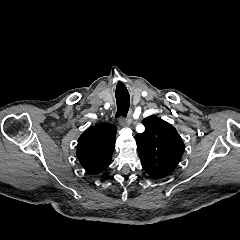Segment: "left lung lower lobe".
Instances as JSON below:
<instances>
[{
	"mask_svg": "<svg viewBox=\"0 0 240 240\" xmlns=\"http://www.w3.org/2000/svg\"><path fill=\"white\" fill-rule=\"evenodd\" d=\"M152 178H155V179H159L158 177H155V176H151Z\"/></svg>",
	"mask_w": 240,
	"mask_h": 240,
	"instance_id": "1",
	"label": "left lung lower lobe"
}]
</instances>
